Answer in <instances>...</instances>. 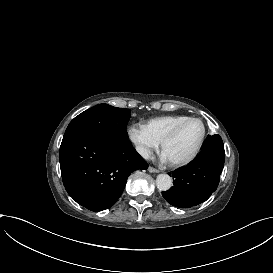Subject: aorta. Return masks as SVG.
Returning <instances> with one entry per match:
<instances>
[{
	"mask_svg": "<svg viewBox=\"0 0 273 273\" xmlns=\"http://www.w3.org/2000/svg\"><path fill=\"white\" fill-rule=\"evenodd\" d=\"M173 185L172 178L168 174H159L156 179V186L160 191H167Z\"/></svg>",
	"mask_w": 273,
	"mask_h": 273,
	"instance_id": "aorta-1",
	"label": "aorta"
}]
</instances>
